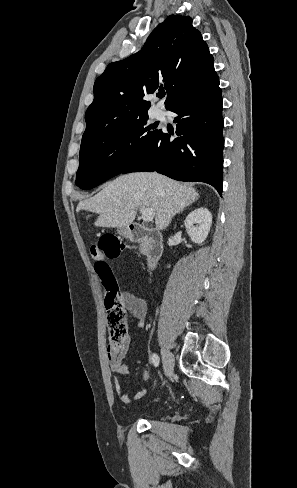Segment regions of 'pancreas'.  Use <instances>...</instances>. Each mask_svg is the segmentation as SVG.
Segmentation results:
<instances>
[{"label":"pancreas","mask_w":297,"mask_h":488,"mask_svg":"<svg viewBox=\"0 0 297 488\" xmlns=\"http://www.w3.org/2000/svg\"><path fill=\"white\" fill-rule=\"evenodd\" d=\"M144 248H145V245H141L140 246V250L143 252L144 251Z\"/></svg>","instance_id":"1"}]
</instances>
